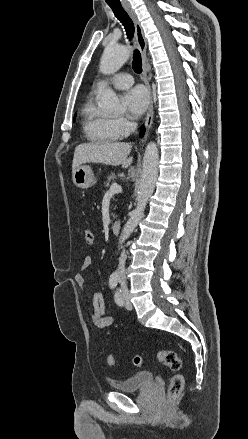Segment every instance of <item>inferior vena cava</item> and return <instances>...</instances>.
I'll return each instance as SVG.
<instances>
[{
    "mask_svg": "<svg viewBox=\"0 0 248 439\" xmlns=\"http://www.w3.org/2000/svg\"><path fill=\"white\" fill-rule=\"evenodd\" d=\"M136 127V124H134ZM125 260H126V253L123 251L121 253L120 261H119V268H118V274H119V282L122 286H126V276H125Z\"/></svg>",
    "mask_w": 248,
    "mask_h": 439,
    "instance_id": "602c4592",
    "label": "inferior vena cava"
}]
</instances>
